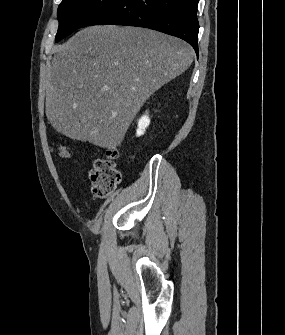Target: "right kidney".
<instances>
[{
	"instance_id": "right-kidney-1",
	"label": "right kidney",
	"mask_w": 285,
	"mask_h": 335,
	"mask_svg": "<svg viewBox=\"0 0 285 335\" xmlns=\"http://www.w3.org/2000/svg\"><path fill=\"white\" fill-rule=\"evenodd\" d=\"M149 124H150V118H148L147 114H145V116H142V118H140L138 122V130L136 132L137 136H143Z\"/></svg>"
}]
</instances>
